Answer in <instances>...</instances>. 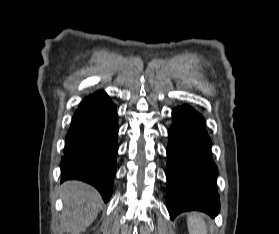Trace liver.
<instances>
[{"instance_id": "1", "label": "liver", "mask_w": 279, "mask_h": 234, "mask_svg": "<svg viewBox=\"0 0 279 234\" xmlns=\"http://www.w3.org/2000/svg\"><path fill=\"white\" fill-rule=\"evenodd\" d=\"M62 197V227L69 234H80L96 219L102 203L101 196L86 183L67 181L62 185Z\"/></svg>"}]
</instances>
